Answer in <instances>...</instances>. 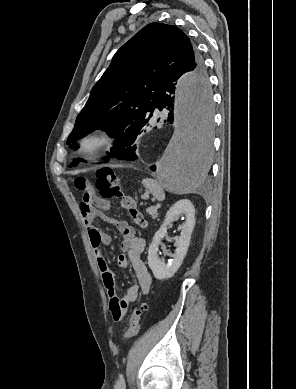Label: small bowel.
<instances>
[{"mask_svg":"<svg viewBox=\"0 0 296 389\" xmlns=\"http://www.w3.org/2000/svg\"><path fill=\"white\" fill-rule=\"evenodd\" d=\"M79 207L81 218L94 250L104 287L110 299V311L112 315L114 312L119 311L123 317L130 304L138 299L139 294H147L152 284V277L142 260L145 242L135 235L134 228L127 220L108 219L110 223L117 227L123 238L120 244L122 253L118 256L117 260L118 265L121 268H127L130 264L137 279V284L131 285L126 290L124 296L119 297L116 292L115 276L106 262L103 251V246L111 242V237L94 224L96 217H103L104 212L110 210L111 203L98 197L91 191L83 194Z\"/></svg>","mask_w":296,"mask_h":389,"instance_id":"1","label":"small bowel"}]
</instances>
